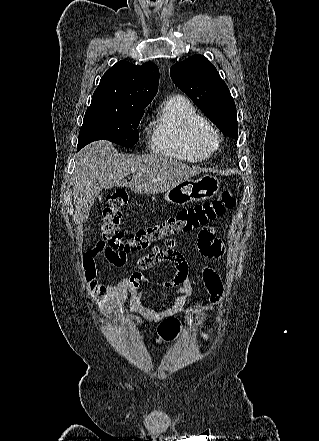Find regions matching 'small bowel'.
Masks as SVG:
<instances>
[{"label": "small bowel", "instance_id": "obj_1", "mask_svg": "<svg viewBox=\"0 0 319 441\" xmlns=\"http://www.w3.org/2000/svg\"><path fill=\"white\" fill-rule=\"evenodd\" d=\"M175 242H168L165 248H157L138 260V271L128 277H122L110 284H97L95 274L91 283L92 296L100 311H113L112 320L122 314L124 303L129 300L130 310L138 314L129 317L131 322L142 324V317L150 323H158L178 313L198 314L213 311L221 302L224 287L220 276L214 268L205 266L202 276L205 288L208 293V304L193 306L187 303L192 292V284L188 277V264L185 257L175 249ZM197 246L199 252L206 257H220L224 253V245L215 237L211 228H205L203 235H198ZM102 251L98 247L87 251L83 256L84 266L93 264L95 257ZM170 262L175 268V274L170 279L158 283L167 289L165 295L173 296L174 302L171 306L161 311H155L142 303V296L149 293L148 286L156 284L145 272L158 263ZM119 266V264H115Z\"/></svg>", "mask_w": 319, "mask_h": 441}]
</instances>
